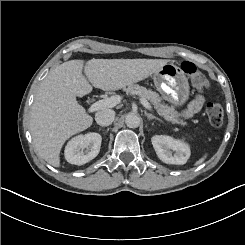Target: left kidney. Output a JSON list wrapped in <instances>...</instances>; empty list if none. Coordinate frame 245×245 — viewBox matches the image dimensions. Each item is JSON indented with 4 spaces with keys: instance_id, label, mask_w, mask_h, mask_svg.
<instances>
[{
    "instance_id": "left-kidney-1",
    "label": "left kidney",
    "mask_w": 245,
    "mask_h": 245,
    "mask_svg": "<svg viewBox=\"0 0 245 245\" xmlns=\"http://www.w3.org/2000/svg\"><path fill=\"white\" fill-rule=\"evenodd\" d=\"M151 142L158 158L164 163L182 165L188 161L191 155L190 145L182 139L167 135H155L151 138Z\"/></svg>"
}]
</instances>
